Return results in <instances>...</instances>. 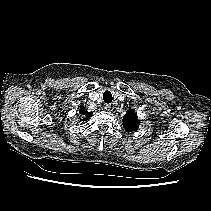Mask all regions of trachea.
Wrapping results in <instances>:
<instances>
[{"label":"trachea","instance_id":"obj_1","mask_svg":"<svg viewBox=\"0 0 211 211\" xmlns=\"http://www.w3.org/2000/svg\"><path fill=\"white\" fill-rule=\"evenodd\" d=\"M103 100L105 103H111L113 100L112 94L110 91H105L103 93Z\"/></svg>","mask_w":211,"mask_h":211}]
</instances>
